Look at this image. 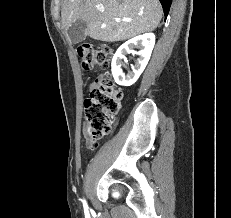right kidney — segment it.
Segmentation results:
<instances>
[{
  "instance_id": "ca27d5eb",
  "label": "right kidney",
  "mask_w": 231,
  "mask_h": 218,
  "mask_svg": "<svg viewBox=\"0 0 231 218\" xmlns=\"http://www.w3.org/2000/svg\"><path fill=\"white\" fill-rule=\"evenodd\" d=\"M154 44L155 35L146 33L128 40L117 49L111 64L112 75L117 84L131 86L137 81L150 59ZM135 48L139 51H135ZM126 54L138 56L135 65H132V71L127 74L122 71V60H126Z\"/></svg>"
}]
</instances>
